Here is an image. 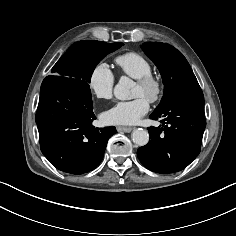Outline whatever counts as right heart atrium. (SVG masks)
Instances as JSON below:
<instances>
[{
  "label": "right heart atrium",
  "instance_id": "obj_1",
  "mask_svg": "<svg viewBox=\"0 0 236 236\" xmlns=\"http://www.w3.org/2000/svg\"><path fill=\"white\" fill-rule=\"evenodd\" d=\"M114 84V73L105 62L97 63L88 75V88L98 99L110 98L113 93Z\"/></svg>",
  "mask_w": 236,
  "mask_h": 236
}]
</instances>
